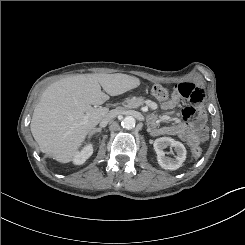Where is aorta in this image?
I'll list each match as a JSON object with an SVG mask.
<instances>
[{
    "mask_svg": "<svg viewBox=\"0 0 245 245\" xmlns=\"http://www.w3.org/2000/svg\"><path fill=\"white\" fill-rule=\"evenodd\" d=\"M135 124L136 120L133 116H126L121 122L122 127L125 129H132L135 127Z\"/></svg>",
    "mask_w": 245,
    "mask_h": 245,
    "instance_id": "aorta-1",
    "label": "aorta"
}]
</instances>
